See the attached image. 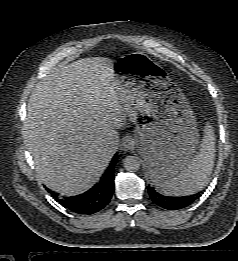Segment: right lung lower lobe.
I'll return each mask as SVG.
<instances>
[{
	"instance_id": "1",
	"label": "right lung lower lobe",
	"mask_w": 238,
	"mask_h": 261,
	"mask_svg": "<svg viewBox=\"0 0 238 261\" xmlns=\"http://www.w3.org/2000/svg\"><path fill=\"white\" fill-rule=\"evenodd\" d=\"M117 155L114 156L101 180L83 194L59 198L58 194L51 192L53 197L64 207L78 214H94L102 210L112 198L114 192V166Z\"/></svg>"
}]
</instances>
